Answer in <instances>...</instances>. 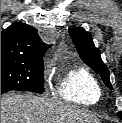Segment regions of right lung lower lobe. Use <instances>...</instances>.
<instances>
[{"label":"right lung lower lobe","instance_id":"obj_1","mask_svg":"<svg viewBox=\"0 0 122 123\" xmlns=\"http://www.w3.org/2000/svg\"><path fill=\"white\" fill-rule=\"evenodd\" d=\"M6 92H8V91H1V94L6 93Z\"/></svg>","mask_w":122,"mask_h":123}]
</instances>
